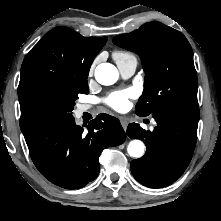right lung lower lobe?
<instances>
[{
  "label": "right lung lower lobe",
  "instance_id": "right-lung-lower-lobe-1",
  "mask_svg": "<svg viewBox=\"0 0 221 221\" xmlns=\"http://www.w3.org/2000/svg\"><path fill=\"white\" fill-rule=\"evenodd\" d=\"M86 127L76 125L71 115L36 120L22 129L33 163L53 184L84 187L100 171L102 150L126 139L119 120L108 114H99Z\"/></svg>",
  "mask_w": 221,
  "mask_h": 221
}]
</instances>
